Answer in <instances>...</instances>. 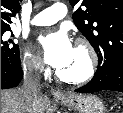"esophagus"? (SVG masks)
I'll use <instances>...</instances> for the list:
<instances>
[{
  "instance_id": "esophagus-1",
  "label": "esophagus",
  "mask_w": 123,
  "mask_h": 113,
  "mask_svg": "<svg viewBox=\"0 0 123 113\" xmlns=\"http://www.w3.org/2000/svg\"><path fill=\"white\" fill-rule=\"evenodd\" d=\"M50 92L54 96H61V95H63V93L60 90H57V89H51Z\"/></svg>"
}]
</instances>
